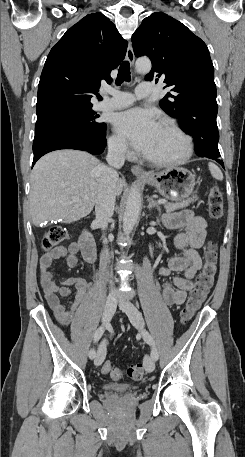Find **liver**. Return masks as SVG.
I'll list each match as a JSON object with an SVG mask.
<instances>
[{"instance_id":"1","label":"liver","mask_w":245,"mask_h":457,"mask_svg":"<svg viewBox=\"0 0 245 457\" xmlns=\"http://www.w3.org/2000/svg\"><path fill=\"white\" fill-rule=\"evenodd\" d=\"M99 166L104 164L89 152L71 148L53 150L37 160L29 194L33 224L57 218L74 222L87 216L97 202ZM122 190L123 180L118 178L115 194Z\"/></svg>"}]
</instances>
